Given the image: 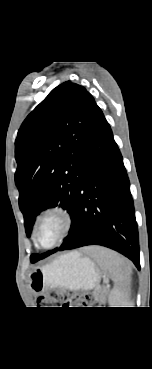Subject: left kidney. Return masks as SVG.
Returning a JSON list of instances; mask_svg holds the SVG:
<instances>
[{
	"label": "left kidney",
	"instance_id": "left-kidney-1",
	"mask_svg": "<svg viewBox=\"0 0 152 369\" xmlns=\"http://www.w3.org/2000/svg\"><path fill=\"white\" fill-rule=\"evenodd\" d=\"M110 307H119L120 303V294L112 293L108 298Z\"/></svg>",
	"mask_w": 152,
	"mask_h": 369
}]
</instances>
